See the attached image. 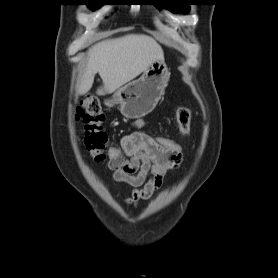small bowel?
<instances>
[{"label":"small bowel","instance_id":"small-bowel-1","mask_svg":"<svg viewBox=\"0 0 278 278\" xmlns=\"http://www.w3.org/2000/svg\"><path fill=\"white\" fill-rule=\"evenodd\" d=\"M144 125L143 120L135 122L136 130L120 141L121 156L107 161L113 180L133 187L125 200L130 205L150 198L161 187L167 173L182 161V155L168 152L155 138L140 131Z\"/></svg>","mask_w":278,"mask_h":278}]
</instances>
